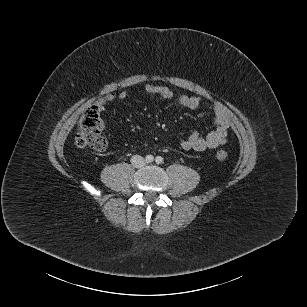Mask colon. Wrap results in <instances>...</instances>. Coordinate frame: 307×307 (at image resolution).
Returning a JSON list of instances; mask_svg holds the SVG:
<instances>
[{
    "mask_svg": "<svg viewBox=\"0 0 307 307\" xmlns=\"http://www.w3.org/2000/svg\"><path fill=\"white\" fill-rule=\"evenodd\" d=\"M99 109L94 105L89 107L82 115L75 134V145L78 148L90 147L96 151H104L107 141L103 133V121ZM227 153L224 150L217 152V159L224 161Z\"/></svg>",
    "mask_w": 307,
    "mask_h": 307,
    "instance_id": "colon-1",
    "label": "colon"
}]
</instances>
